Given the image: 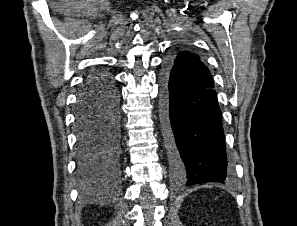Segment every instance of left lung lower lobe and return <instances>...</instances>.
<instances>
[{"instance_id":"left-lung-lower-lobe-1","label":"left lung lower lobe","mask_w":297,"mask_h":226,"mask_svg":"<svg viewBox=\"0 0 297 226\" xmlns=\"http://www.w3.org/2000/svg\"><path fill=\"white\" fill-rule=\"evenodd\" d=\"M161 85L160 115L174 181L187 186L228 181L231 166L216 91L191 88L168 59Z\"/></svg>"}]
</instances>
